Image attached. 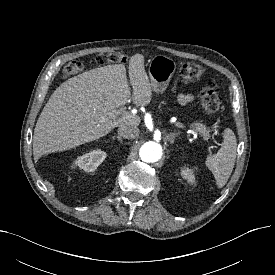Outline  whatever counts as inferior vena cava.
I'll list each match as a JSON object with an SVG mask.
<instances>
[{
  "mask_svg": "<svg viewBox=\"0 0 275 275\" xmlns=\"http://www.w3.org/2000/svg\"><path fill=\"white\" fill-rule=\"evenodd\" d=\"M118 134L125 139H134L139 135V129L137 126L121 125Z\"/></svg>",
  "mask_w": 275,
  "mask_h": 275,
  "instance_id": "inferior-vena-cava-1",
  "label": "inferior vena cava"
}]
</instances>
